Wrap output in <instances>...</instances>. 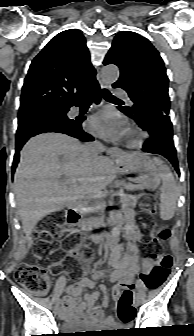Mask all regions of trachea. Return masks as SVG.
I'll use <instances>...</instances> for the list:
<instances>
[{"label":"trachea","mask_w":194,"mask_h":336,"mask_svg":"<svg viewBox=\"0 0 194 336\" xmlns=\"http://www.w3.org/2000/svg\"><path fill=\"white\" fill-rule=\"evenodd\" d=\"M101 93H102V96L105 100H108V101L119 100V99L115 98L114 96H112L111 93L107 89H103ZM91 102H92L91 98H88V99L84 100V103H91Z\"/></svg>","instance_id":"1"}]
</instances>
